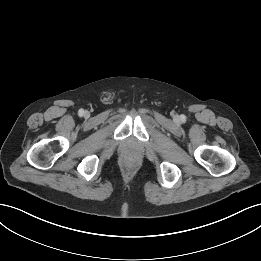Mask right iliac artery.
I'll use <instances>...</instances> for the list:
<instances>
[{"mask_svg": "<svg viewBox=\"0 0 261 261\" xmlns=\"http://www.w3.org/2000/svg\"><path fill=\"white\" fill-rule=\"evenodd\" d=\"M78 113H79L80 116H82L84 114V110L80 109Z\"/></svg>", "mask_w": 261, "mask_h": 261, "instance_id": "obj_1", "label": "right iliac artery"}]
</instances>
